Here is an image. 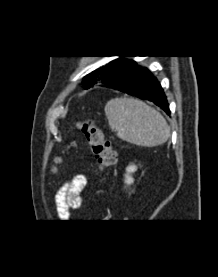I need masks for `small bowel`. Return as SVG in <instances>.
<instances>
[{
    "mask_svg": "<svg viewBox=\"0 0 218 277\" xmlns=\"http://www.w3.org/2000/svg\"><path fill=\"white\" fill-rule=\"evenodd\" d=\"M87 185L84 175L78 174L66 182L57 192L55 202L60 218H68L70 210L81 206L83 190Z\"/></svg>",
    "mask_w": 218,
    "mask_h": 277,
    "instance_id": "small-bowel-1",
    "label": "small bowel"
}]
</instances>
